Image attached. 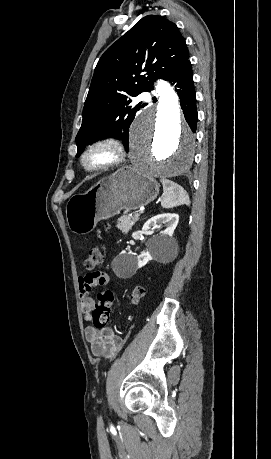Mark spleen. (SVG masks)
I'll use <instances>...</instances> for the list:
<instances>
[{"label": "spleen", "mask_w": 271, "mask_h": 459, "mask_svg": "<svg viewBox=\"0 0 271 459\" xmlns=\"http://www.w3.org/2000/svg\"><path fill=\"white\" fill-rule=\"evenodd\" d=\"M160 182L163 186V196L161 200L162 208H174V206H181V204H187V206H189V196L186 200L178 198V184H174V182H170V180H165V178H161Z\"/></svg>", "instance_id": "1"}]
</instances>
